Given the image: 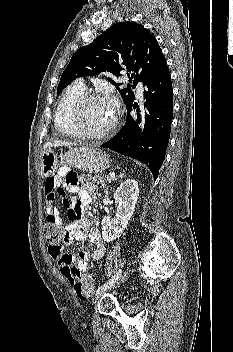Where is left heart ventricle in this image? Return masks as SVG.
<instances>
[{
	"mask_svg": "<svg viewBox=\"0 0 233 352\" xmlns=\"http://www.w3.org/2000/svg\"><path fill=\"white\" fill-rule=\"evenodd\" d=\"M113 118L114 108L106 100H92L83 106L80 123L83 129L98 132L106 129Z\"/></svg>",
	"mask_w": 233,
	"mask_h": 352,
	"instance_id": "obj_1",
	"label": "left heart ventricle"
}]
</instances>
